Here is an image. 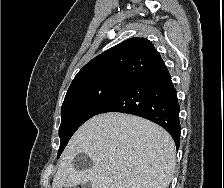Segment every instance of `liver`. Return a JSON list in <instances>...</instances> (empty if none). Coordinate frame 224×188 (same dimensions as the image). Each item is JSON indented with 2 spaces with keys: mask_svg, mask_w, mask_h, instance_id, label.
Returning <instances> with one entry per match:
<instances>
[{
  "mask_svg": "<svg viewBox=\"0 0 224 188\" xmlns=\"http://www.w3.org/2000/svg\"><path fill=\"white\" fill-rule=\"evenodd\" d=\"M85 153L93 165L73 161ZM176 164L175 143L159 125L125 113H104L85 122L65 148L52 188H168Z\"/></svg>",
  "mask_w": 224,
  "mask_h": 188,
  "instance_id": "obj_1",
  "label": "liver"
}]
</instances>
